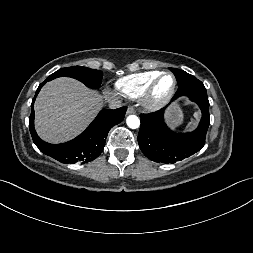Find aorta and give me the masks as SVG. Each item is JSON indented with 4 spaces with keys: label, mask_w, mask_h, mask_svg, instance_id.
<instances>
[{
    "label": "aorta",
    "mask_w": 253,
    "mask_h": 253,
    "mask_svg": "<svg viewBox=\"0 0 253 253\" xmlns=\"http://www.w3.org/2000/svg\"><path fill=\"white\" fill-rule=\"evenodd\" d=\"M129 128L137 129L140 126V120L136 115H130L126 119Z\"/></svg>",
    "instance_id": "obj_1"
}]
</instances>
